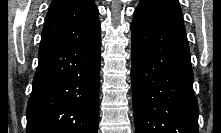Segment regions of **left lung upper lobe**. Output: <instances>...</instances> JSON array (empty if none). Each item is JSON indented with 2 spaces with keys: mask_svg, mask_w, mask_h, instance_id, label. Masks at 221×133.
<instances>
[{
  "mask_svg": "<svg viewBox=\"0 0 221 133\" xmlns=\"http://www.w3.org/2000/svg\"><path fill=\"white\" fill-rule=\"evenodd\" d=\"M133 22L186 32L178 0H140Z\"/></svg>",
  "mask_w": 221,
  "mask_h": 133,
  "instance_id": "obj_1",
  "label": "left lung upper lobe"
}]
</instances>
